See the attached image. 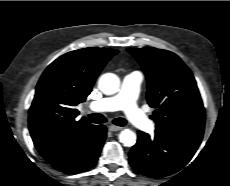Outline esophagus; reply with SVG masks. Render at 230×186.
Instances as JSON below:
<instances>
[{"mask_svg": "<svg viewBox=\"0 0 230 186\" xmlns=\"http://www.w3.org/2000/svg\"><path fill=\"white\" fill-rule=\"evenodd\" d=\"M108 129H109L110 131L116 132V131L122 130L123 127L116 126V125H109V126H108Z\"/></svg>", "mask_w": 230, "mask_h": 186, "instance_id": "34e87169", "label": "esophagus"}]
</instances>
